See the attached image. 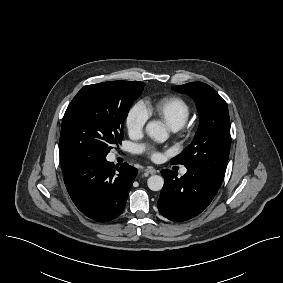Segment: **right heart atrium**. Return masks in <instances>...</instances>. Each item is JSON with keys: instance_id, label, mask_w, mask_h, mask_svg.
<instances>
[{"instance_id": "right-heart-atrium-1", "label": "right heart atrium", "mask_w": 283, "mask_h": 283, "mask_svg": "<svg viewBox=\"0 0 283 283\" xmlns=\"http://www.w3.org/2000/svg\"><path fill=\"white\" fill-rule=\"evenodd\" d=\"M148 120V114L144 105L137 102L131 106L126 115V128L131 137L142 134Z\"/></svg>"}]
</instances>
